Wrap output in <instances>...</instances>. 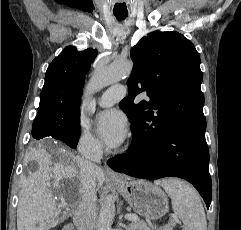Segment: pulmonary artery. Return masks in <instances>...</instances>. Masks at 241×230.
Here are the masks:
<instances>
[{"label": "pulmonary artery", "instance_id": "pulmonary-artery-1", "mask_svg": "<svg viewBox=\"0 0 241 230\" xmlns=\"http://www.w3.org/2000/svg\"><path fill=\"white\" fill-rule=\"evenodd\" d=\"M127 94V89L123 85H116L105 91L98 103L102 107H110L116 101L123 99Z\"/></svg>", "mask_w": 241, "mask_h": 230}]
</instances>
